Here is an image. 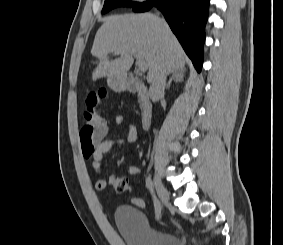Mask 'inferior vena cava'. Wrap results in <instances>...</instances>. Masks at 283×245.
I'll list each match as a JSON object with an SVG mask.
<instances>
[{
	"label": "inferior vena cava",
	"mask_w": 283,
	"mask_h": 245,
	"mask_svg": "<svg viewBox=\"0 0 283 245\" xmlns=\"http://www.w3.org/2000/svg\"><path fill=\"white\" fill-rule=\"evenodd\" d=\"M161 23L164 27L168 28V25L164 19H161ZM166 77L167 72L164 69H160L156 74L149 90V95L152 101L155 102L157 99L164 95Z\"/></svg>",
	"instance_id": "obj_1"
}]
</instances>
